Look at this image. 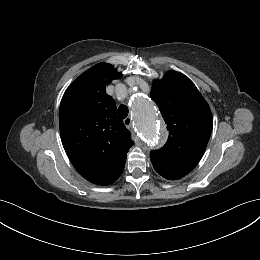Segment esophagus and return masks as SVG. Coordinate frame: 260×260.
Here are the masks:
<instances>
[{
	"instance_id": "esophagus-1",
	"label": "esophagus",
	"mask_w": 260,
	"mask_h": 260,
	"mask_svg": "<svg viewBox=\"0 0 260 260\" xmlns=\"http://www.w3.org/2000/svg\"><path fill=\"white\" fill-rule=\"evenodd\" d=\"M124 125L127 127V128H131L132 127V119L130 117H127L126 119H124Z\"/></svg>"
}]
</instances>
